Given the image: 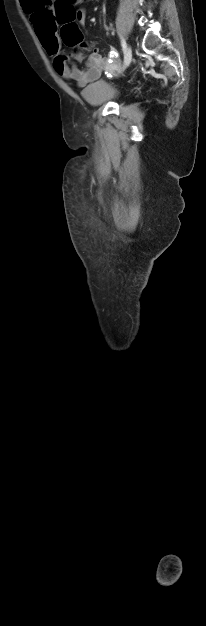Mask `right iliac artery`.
<instances>
[{
	"mask_svg": "<svg viewBox=\"0 0 206 626\" xmlns=\"http://www.w3.org/2000/svg\"><path fill=\"white\" fill-rule=\"evenodd\" d=\"M121 45H122V49H123V51L125 52V50H126L127 46H126V42H125V40H124V39H122V40H121Z\"/></svg>",
	"mask_w": 206,
	"mask_h": 626,
	"instance_id": "obj_1",
	"label": "right iliac artery"
}]
</instances>
